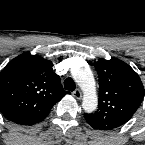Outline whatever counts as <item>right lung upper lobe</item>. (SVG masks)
Here are the masks:
<instances>
[{
  "mask_svg": "<svg viewBox=\"0 0 145 145\" xmlns=\"http://www.w3.org/2000/svg\"><path fill=\"white\" fill-rule=\"evenodd\" d=\"M52 62L24 53L0 73V111L10 121L34 125L47 117L67 93L52 71Z\"/></svg>",
  "mask_w": 145,
  "mask_h": 145,
  "instance_id": "cb5924a9",
  "label": "right lung upper lobe"
}]
</instances>
